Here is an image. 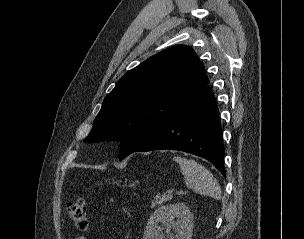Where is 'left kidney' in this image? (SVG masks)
Listing matches in <instances>:
<instances>
[{"label":"left kidney","instance_id":"5707ae66","mask_svg":"<svg viewBox=\"0 0 304 239\" xmlns=\"http://www.w3.org/2000/svg\"><path fill=\"white\" fill-rule=\"evenodd\" d=\"M163 223L166 229L172 228L176 239H190L193 232V214L183 203L169 204L157 209L150 217L145 228L143 239H163L164 234L158 223ZM174 239V238H171Z\"/></svg>","mask_w":304,"mask_h":239}]
</instances>
